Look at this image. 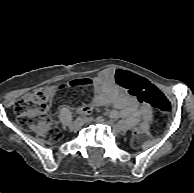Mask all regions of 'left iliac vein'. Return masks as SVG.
<instances>
[{
  "instance_id": "1",
  "label": "left iliac vein",
  "mask_w": 194,
  "mask_h": 193,
  "mask_svg": "<svg viewBox=\"0 0 194 193\" xmlns=\"http://www.w3.org/2000/svg\"><path fill=\"white\" fill-rule=\"evenodd\" d=\"M109 125H111L114 133H121L123 131V127L119 124H114L112 122H108Z\"/></svg>"
}]
</instances>
